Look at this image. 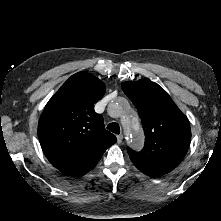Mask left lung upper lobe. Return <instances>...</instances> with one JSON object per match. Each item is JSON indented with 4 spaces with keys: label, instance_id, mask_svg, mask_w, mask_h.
<instances>
[{
    "label": "left lung upper lobe",
    "instance_id": "obj_1",
    "mask_svg": "<svg viewBox=\"0 0 221 221\" xmlns=\"http://www.w3.org/2000/svg\"><path fill=\"white\" fill-rule=\"evenodd\" d=\"M121 87L137 108L146 136L140 152L127 149L131 161L151 177L169 173L180 164L189 148L188 118L166 91L147 78L123 82Z\"/></svg>",
    "mask_w": 221,
    "mask_h": 221
}]
</instances>
